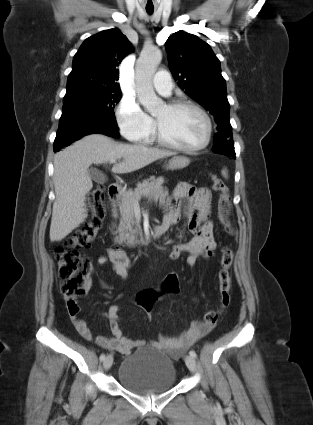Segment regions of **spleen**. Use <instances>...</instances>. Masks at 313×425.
<instances>
[{
	"label": "spleen",
	"instance_id": "spleen-1",
	"mask_svg": "<svg viewBox=\"0 0 313 425\" xmlns=\"http://www.w3.org/2000/svg\"><path fill=\"white\" fill-rule=\"evenodd\" d=\"M222 175H223L225 178H227V177H228V173H227V170H226V169H223V170H222Z\"/></svg>",
	"mask_w": 313,
	"mask_h": 425
}]
</instances>
